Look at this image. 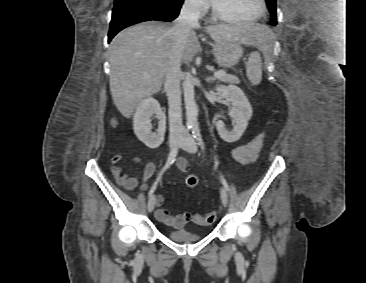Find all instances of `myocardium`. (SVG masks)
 Instances as JSON below:
<instances>
[{"label": "myocardium", "instance_id": "myocardium-1", "mask_svg": "<svg viewBox=\"0 0 366 283\" xmlns=\"http://www.w3.org/2000/svg\"><path fill=\"white\" fill-rule=\"evenodd\" d=\"M258 2H259V12L254 17H251L248 19H238V18H233V17L223 14L222 12H220L217 9V7L214 4V1H212V3H211V10H212V14H213L214 18L219 21L226 22V23H232V24H248V23H253V22L261 19L266 12L265 0H258Z\"/></svg>", "mask_w": 366, "mask_h": 283}]
</instances>
